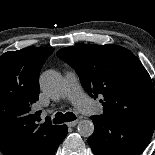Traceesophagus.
Masks as SVG:
<instances>
[{"instance_id":"1","label":"esophagus","mask_w":155,"mask_h":155,"mask_svg":"<svg viewBox=\"0 0 155 155\" xmlns=\"http://www.w3.org/2000/svg\"><path fill=\"white\" fill-rule=\"evenodd\" d=\"M78 124V121H72V122H68L67 126L68 127H75Z\"/></svg>"}]
</instances>
